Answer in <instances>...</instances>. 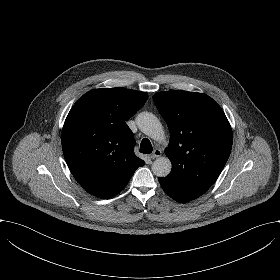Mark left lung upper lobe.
I'll list each match as a JSON object with an SVG mask.
<instances>
[{
  "label": "left lung upper lobe",
  "mask_w": 280,
  "mask_h": 280,
  "mask_svg": "<svg viewBox=\"0 0 280 280\" xmlns=\"http://www.w3.org/2000/svg\"><path fill=\"white\" fill-rule=\"evenodd\" d=\"M153 100L170 131L165 153L172 170L159 181L177 194H204L231 152L233 136L228 119L206 94L172 90L156 93Z\"/></svg>",
  "instance_id": "1"
}]
</instances>
